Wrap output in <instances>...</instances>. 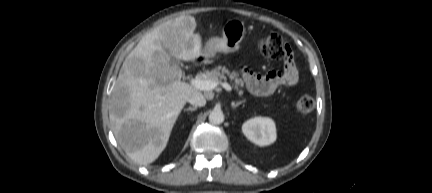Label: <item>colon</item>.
<instances>
[{
	"mask_svg": "<svg viewBox=\"0 0 432 193\" xmlns=\"http://www.w3.org/2000/svg\"><path fill=\"white\" fill-rule=\"evenodd\" d=\"M258 50L262 55L271 59H290L291 50L281 36L277 34L269 35L258 42ZM296 110L299 113L307 114L314 110L315 100L312 96L302 95L296 102Z\"/></svg>",
	"mask_w": 432,
	"mask_h": 193,
	"instance_id": "colon-1",
	"label": "colon"
}]
</instances>
